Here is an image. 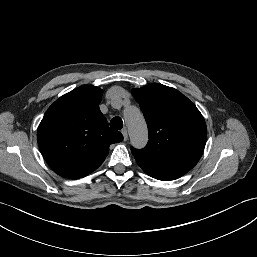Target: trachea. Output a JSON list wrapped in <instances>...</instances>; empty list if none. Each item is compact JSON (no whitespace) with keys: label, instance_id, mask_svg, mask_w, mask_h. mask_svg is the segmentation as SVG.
I'll return each instance as SVG.
<instances>
[{"label":"trachea","instance_id":"obj_1","mask_svg":"<svg viewBox=\"0 0 257 257\" xmlns=\"http://www.w3.org/2000/svg\"><path fill=\"white\" fill-rule=\"evenodd\" d=\"M110 126L114 129L121 130L123 128V121L120 117H114L110 122Z\"/></svg>","mask_w":257,"mask_h":257}]
</instances>
